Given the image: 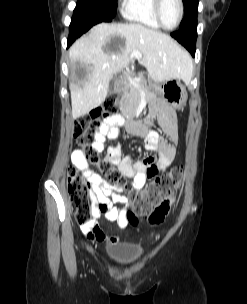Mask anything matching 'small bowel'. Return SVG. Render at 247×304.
<instances>
[{
    "label": "small bowel",
    "mask_w": 247,
    "mask_h": 304,
    "mask_svg": "<svg viewBox=\"0 0 247 304\" xmlns=\"http://www.w3.org/2000/svg\"><path fill=\"white\" fill-rule=\"evenodd\" d=\"M150 114L156 116L158 123L166 137L160 136L155 131H149L141 124L134 123L128 126V130L144 138L145 148L156 152L158 157L134 161L131 157H122L118 146H111L105 155V162L117 166L118 170L129 179L125 186L117 188V191L141 190L148 179L167 169L176 156L178 131L177 119L174 110L161 101H156L151 107ZM125 123L120 115H114L105 119L93 137L92 147L98 152L105 148L106 140L115 139L119 135V128ZM73 166L81 172L91 186V198L93 202L92 221L81 225L82 233L91 241L116 242V237H107L96 220L103 216L106 220L123 227L126 222V212L120 206L128 201L124 194L113 192V188L105 182L100 175L94 172L88 165L82 151L76 149L71 154Z\"/></svg>",
    "instance_id": "1"
}]
</instances>
